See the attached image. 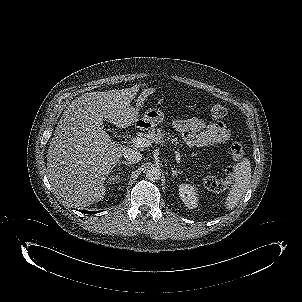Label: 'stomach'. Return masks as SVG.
<instances>
[{"label":"stomach","instance_id":"1","mask_svg":"<svg viewBox=\"0 0 302 302\" xmlns=\"http://www.w3.org/2000/svg\"><path fill=\"white\" fill-rule=\"evenodd\" d=\"M164 119V113L157 108L146 110L142 118L136 120L140 128L149 130L157 126Z\"/></svg>","mask_w":302,"mask_h":302}]
</instances>
